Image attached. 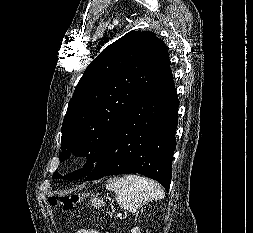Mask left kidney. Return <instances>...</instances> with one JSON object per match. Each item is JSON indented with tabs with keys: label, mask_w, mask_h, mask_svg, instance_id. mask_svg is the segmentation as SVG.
I'll use <instances>...</instances> for the list:
<instances>
[{
	"label": "left kidney",
	"mask_w": 253,
	"mask_h": 233,
	"mask_svg": "<svg viewBox=\"0 0 253 233\" xmlns=\"http://www.w3.org/2000/svg\"><path fill=\"white\" fill-rule=\"evenodd\" d=\"M131 233H140V230L138 227H135L131 230Z\"/></svg>",
	"instance_id": "1"
}]
</instances>
